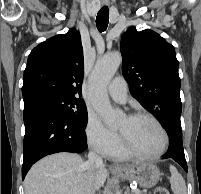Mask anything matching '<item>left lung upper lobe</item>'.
Here are the masks:
<instances>
[{
	"label": "left lung upper lobe",
	"mask_w": 201,
	"mask_h": 194,
	"mask_svg": "<svg viewBox=\"0 0 201 194\" xmlns=\"http://www.w3.org/2000/svg\"><path fill=\"white\" fill-rule=\"evenodd\" d=\"M122 72L130 92L164 126L180 120L181 80L174 47L152 30L130 27L122 36Z\"/></svg>",
	"instance_id": "left-lung-upper-lobe-1"
}]
</instances>
